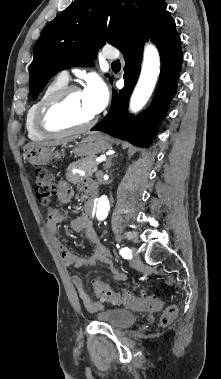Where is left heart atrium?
I'll return each mask as SVG.
<instances>
[{"label":"left heart atrium","mask_w":221,"mask_h":379,"mask_svg":"<svg viewBox=\"0 0 221 379\" xmlns=\"http://www.w3.org/2000/svg\"><path fill=\"white\" fill-rule=\"evenodd\" d=\"M83 98L91 112H101L109 100V91L105 83L98 77H90L82 91Z\"/></svg>","instance_id":"obj_1"}]
</instances>
